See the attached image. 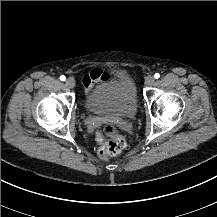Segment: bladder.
I'll list each match as a JSON object with an SVG mask.
<instances>
[{
  "mask_svg": "<svg viewBox=\"0 0 217 217\" xmlns=\"http://www.w3.org/2000/svg\"><path fill=\"white\" fill-rule=\"evenodd\" d=\"M87 112L121 118L135 115L138 109L136 87L129 82L101 83L94 94L84 98Z\"/></svg>",
  "mask_w": 217,
  "mask_h": 217,
  "instance_id": "bladder-1",
  "label": "bladder"
}]
</instances>
